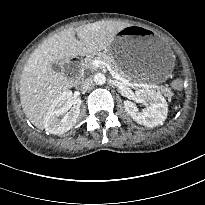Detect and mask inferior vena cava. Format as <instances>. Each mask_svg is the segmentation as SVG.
Returning a JSON list of instances; mask_svg holds the SVG:
<instances>
[{"mask_svg": "<svg viewBox=\"0 0 205 205\" xmlns=\"http://www.w3.org/2000/svg\"><path fill=\"white\" fill-rule=\"evenodd\" d=\"M92 85H93V80L91 78H87L83 81V83L81 85V89L88 90L92 87Z\"/></svg>", "mask_w": 205, "mask_h": 205, "instance_id": "obj_1", "label": "inferior vena cava"}]
</instances>
